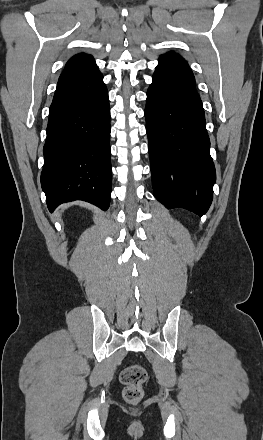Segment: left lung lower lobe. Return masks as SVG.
Returning a JSON list of instances; mask_svg holds the SVG:
<instances>
[{"mask_svg":"<svg viewBox=\"0 0 263 440\" xmlns=\"http://www.w3.org/2000/svg\"><path fill=\"white\" fill-rule=\"evenodd\" d=\"M145 117L155 197L168 209L202 216L212 202L216 172L194 75L180 55L160 56Z\"/></svg>","mask_w":263,"mask_h":440,"instance_id":"left-lung-lower-lobe-1","label":"left lung lower lobe"}]
</instances>
